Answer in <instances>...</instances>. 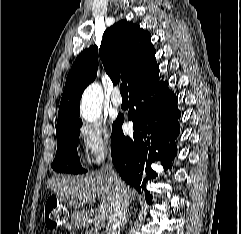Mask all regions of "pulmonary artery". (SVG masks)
<instances>
[{
  "mask_svg": "<svg viewBox=\"0 0 241 234\" xmlns=\"http://www.w3.org/2000/svg\"><path fill=\"white\" fill-rule=\"evenodd\" d=\"M111 103L114 107H120L122 105V98L119 94V89H115L111 96Z\"/></svg>",
  "mask_w": 241,
  "mask_h": 234,
  "instance_id": "pulmonary-artery-1",
  "label": "pulmonary artery"
}]
</instances>
